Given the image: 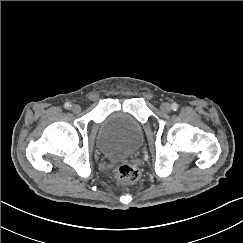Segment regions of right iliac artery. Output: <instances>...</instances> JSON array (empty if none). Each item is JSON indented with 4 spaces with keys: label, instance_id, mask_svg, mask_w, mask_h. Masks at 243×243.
I'll list each match as a JSON object with an SVG mask.
<instances>
[{
    "label": "right iliac artery",
    "instance_id": "right-iliac-artery-1",
    "mask_svg": "<svg viewBox=\"0 0 243 243\" xmlns=\"http://www.w3.org/2000/svg\"><path fill=\"white\" fill-rule=\"evenodd\" d=\"M64 107H65L66 109H70L71 104H70L69 102H66V103L64 104Z\"/></svg>",
    "mask_w": 243,
    "mask_h": 243
}]
</instances>
